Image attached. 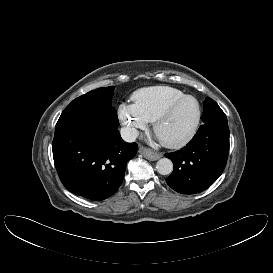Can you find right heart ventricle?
I'll list each match as a JSON object with an SVG mask.
<instances>
[{"label":"right heart ventricle","mask_w":273,"mask_h":273,"mask_svg":"<svg viewBox=\"0 0 273 273\" xmlns=\"http://www.w3.org/2000/svg\"><path fill=\"white\" fill-rule=\"evenodd\" d=\"M184 95L182 91L176 88L152 86L135 91L131 99L139 113L148 122H153L169 103Z\"/></svg>","instance_id":"obj_1"}]
</instances>
